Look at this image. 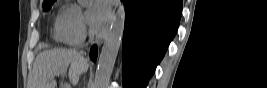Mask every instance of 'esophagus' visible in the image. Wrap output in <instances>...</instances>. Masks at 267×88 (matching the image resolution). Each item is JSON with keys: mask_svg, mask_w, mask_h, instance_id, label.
Wrapping results in <instances>:
<instances>
[{"mask_svg": "<svg viewBox=\"0 0 267 88\" xmlns=\"http://www.w3.org/2000/svg\"><path fill=\"white\" fill-rule=\"evenodd\" d=\"M109 25L110 24H107V26L97 34V36L95 38V44H97L98 46H101L102 43L104 42V40L107 36Z\"/></svg>", "mask_w": 267, "mask_h": 88, "instance_id": "1", "label": "esophagus"}]
</instances>
